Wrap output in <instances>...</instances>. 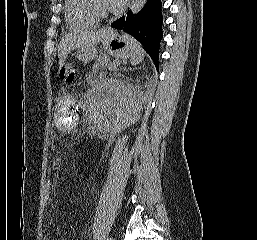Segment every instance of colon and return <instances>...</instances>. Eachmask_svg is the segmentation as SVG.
<instances>
[{"label":"colon","instance_id":"colon-1","mask_svg":"<svg viewBox=\"0 0 257 240\" xmlns=\"http://www.w3.org/2000/svg\"><path fill=\"white\" fill-rule=\"evenodd\" d=\"M60 77L63 81L70 83L75 80L76 67L73 63L67 62L61 69ZM53 198V186L50 179H47L44 186V200L46 206L50 205Z\"/></svg>","mask_w":257,"mask_h":240}]
</instances>
